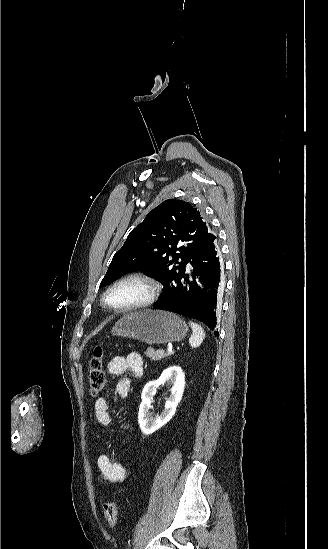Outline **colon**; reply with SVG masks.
<instances>
[{
	"mask_svg": "<svg viewBox=\"0 0 328 549\" xmlns=\"http://www.w3.org/2000/svg\"><path fill=\"white\" fill-rule=\"evenodd\" d=\"M103 359L104 348L97 346L94 349L89 365V385L92 395H97L101 392L106 384ZM104 516L109 526L113 527L116 525L118 518V506L114 500H110L104 504Z\"/></svg>",
	"mask_w": 328,
	"mask_h": 549,
	"instance_id": "colon-1",
	"label": "colon"
}]
</instances>
